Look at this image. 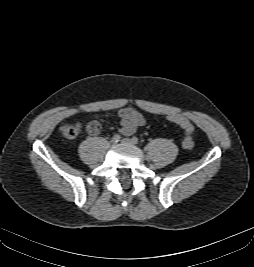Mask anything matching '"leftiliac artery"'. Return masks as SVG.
I'll list each match as a JSON object with an SVG mask.
<instances>
[{
  "mask_svg": "<svg viewBox=\"0 0 254 267\" xmlns=\"http://www.w3.org/2000/svg\"><path fill=\"white\" fill-rule=\"evenodd\" d=\"M132 142L134 143V144H138V142H139V140H138V138L137 137H132Z\"/></svg>",
  "mask_w": 254,
  "mask_h": 267,
  "instance_id": "left-iliac-artery-1",
  "label": "left iliac artery"
}]
</instances>
